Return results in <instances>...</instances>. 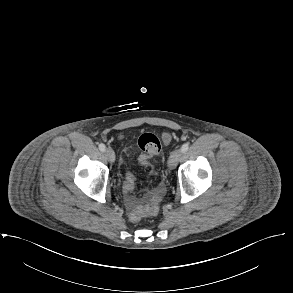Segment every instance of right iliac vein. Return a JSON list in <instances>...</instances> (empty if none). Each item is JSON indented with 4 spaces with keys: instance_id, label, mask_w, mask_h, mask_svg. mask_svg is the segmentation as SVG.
I'll use <instances>...</instances> for the list:
<instances>
[{
    "instance_id": "63e3f726",
    "label": "right iliac vein",
    "mask_w": 293,
    "mask_h": 293,
    "mask_svg": "<svg viewBox=\"0 0 293 293\" xmlns=\"http://www.w3.org/2000/svg\"><path fill=\"white\" fill-rule=\"evenodd\" d=\"M104 153L109 162L113 163L115 161V153L111 148H107Z\"/></svg>"
}]
</instances>
